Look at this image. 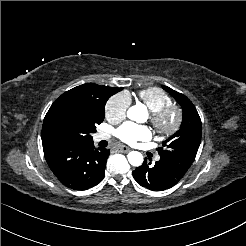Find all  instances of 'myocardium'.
I'll list each match as a JSON object with an SVG mask.
<instances>
[{
  "label": "myocardium",
  "instance_id": "myocardium-1",
  "mask_svg": "<svg viewBox=\"0 0 246 246\" xmlns=\"http://www.w3.org/2000/svg\"><path fill=\"white\" fill-rule=\"evenodd\" d=\"M183 120V113L176 105L163 107L159 111L150 113V122L163 137L172 136L180 128Z\"/></svg>",
  "mask_w": 246,
  "mask_h": 246
}]
</instances>
